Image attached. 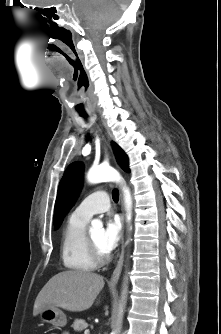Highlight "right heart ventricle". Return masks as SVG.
<instances>
[{
    "label": "right heart ventricle",
    "mask_w": 221,
    "mask_h": 334,
    "mask_svg": "<svg viewBox=\"0 0 221 334\" xmlns=\"http://www.w3.org/2000/svg\"><path fill=\"white\" fill-rule=\"evenodd\" d=\"M87 222L72 213L62 232L61 258L64 266L74 272H91L97 268L87 246Z\"/></svg>",
    "instance_id": "obj_1"
}]
</instances>
